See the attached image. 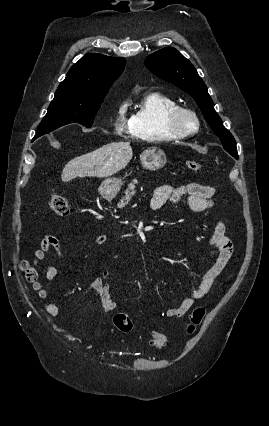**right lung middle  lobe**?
<instances>
[{
  "instance_id": "1",
  "label": "right lung middle lobe",
  "mask_w": 269,
  "mask_h": 426,
  "mask_svg": "<svg viewBox=\"0 0 269 426\" xmlns=\"http://www.w3.org/2000/svg\"><path fill=\"white\" fill-rule=\"evenodd\" d=\"M104 98L105 96L87 99L55 95L38 127L34 140L69 123L91 127Z\"/></svg>"
}]
</instances>
